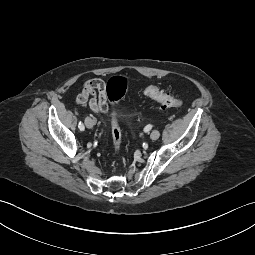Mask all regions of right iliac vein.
<instances>
[{"instance_id": "obj_1", "label": "right iliac vein", "mask_w": 255, "mask_h": 255, "mask_svg": "<svg viewBox=\"0 0 255 255\" xmlns=\"http://www.w3.org/2000/svg\"><path fill=\"white\" fill-rule=\"evenodd\" d=\"M85 125L87 128L91 129L94 126V121L90 117H86Z\"/></svg>"}]
</instances>
